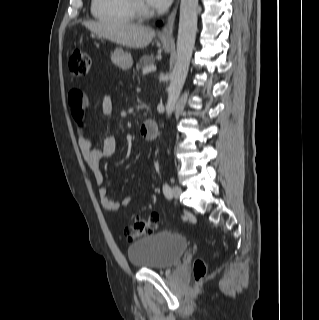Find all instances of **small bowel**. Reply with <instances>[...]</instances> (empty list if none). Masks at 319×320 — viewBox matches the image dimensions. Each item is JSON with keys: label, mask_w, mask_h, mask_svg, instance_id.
Wrapping results in <instances>:
<instances>
[{"label": "small bowel", "mask_w": 319, "mask_h": 320, "mask_svg": "<svg viewBox=\"0 0 319 320\" xmlns=\"http://www.w3.org/2000/svg\"><path fill=\"white\" fill-rule=\"evenodd\" d=\"M87 96L80 89H72L69 93V106L76 128L78 130V147L82 158L92 172L97 185L99 186L98 195L102 207L107 211H116L120 207L128 206L133 198L124 197L121 201H116L109 197L107 188L103 186V175L100 170L102 159L112 156L117 148V142L114 137L107 136L103 139L98 148H94L90 139L86 136V126L84 123L85 109L87 106ZM113 112V100L111 96L106 95L102 100V113L106 116Z\"/></svg>", "instance_id": "obj_1"}]
</instances>
